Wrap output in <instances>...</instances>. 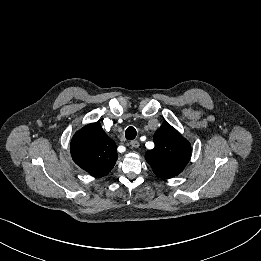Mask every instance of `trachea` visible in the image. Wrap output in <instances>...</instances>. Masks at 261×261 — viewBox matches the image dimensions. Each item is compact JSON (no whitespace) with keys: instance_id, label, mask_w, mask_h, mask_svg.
<instances>
[{"instance_id":"obj_1","label":"trachea","mask_w":261,"mask_h":261,"mask_svg":"<svg viewBox=\"0 0 261 261\" xmlns=\"http://www.w3.org/2000/svg\"><path fill=\"white\" fill-rule=\"evenodd\" d=\"M136 135H137L136 129H135L134 127H132V126H129V127L126 129V131H125V137H126V139H128V140H133V139H135Z\"/></svg>"}]
</instances>
